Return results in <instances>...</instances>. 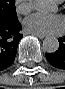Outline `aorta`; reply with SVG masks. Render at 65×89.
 Returning a JSON list of instances; mask_svg holds the SVG:
<instances>
[{
    "label": "aorta",
    "instance_id": "1",
    "mask_svg": "<svg viewBox=\"0 0 65 89\" xmlns=\"http://www.w3.org/2000/svg\"><path fill=\"white\" fill-rule=\"evenodd\" d=\"M32 8L38 12H49L52 8V2L50 0H33ZM42 48L47 53H54L59 48V42L56 37L50 36L43 40Z\"/></svg>",
    "mask_w": 65,
    "mask_h": 89
}]
</instances>
